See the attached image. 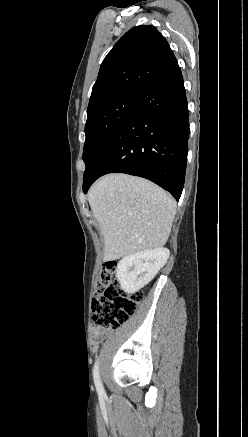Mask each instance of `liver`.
<instances>
[{"label":"liver","mask_w":248,"mask_h":437,"mask_svg":"<svg viewBox=\"0 0 248 437\" xmlns=\"http://www.w3.org/2000/svg\"><path fill=\"white\" fill-rule=\"evenodd\" d=\"M88 201L104 239V260L162 247L176 214V201L139 177L109 174L89 190Z\"/></svg>","instance_id":"obj_1"}]
</instances>
